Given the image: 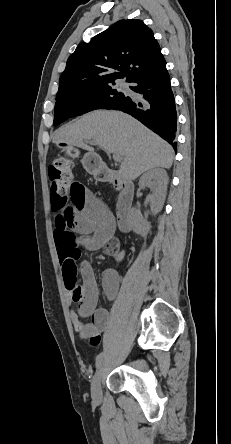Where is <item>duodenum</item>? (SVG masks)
<instances>
[{
  "mask_svg": "<svg viewBox=\"0 0 231 444\" xmlns=\"http://www.w3.org/2000/svg\"><path fill=\"white\" fill-rule=\"evenodd\" d=\"M96 174L105 181L119 184L121 193L117 208L118 226L121 231L129 232L131 230V210L135 192L133 185L124 180L120 173L108 168L105 164L99 167Z\"/></svg>",
  "mask_w": 231,
  "mask_h": 444,
  "instance_id": "410a0bca",
  "label": "duodenum"
}]
</instances>
